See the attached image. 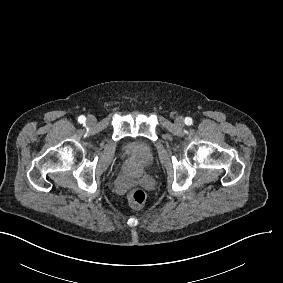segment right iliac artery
<instances>
[{
  "label": "right iliac artery",
  "mask_w": 283,
  "mask_h": 283,
  "mask_svg": "<svg viewBox=\"0 0 283 283\" xmlns=\"http://www.w3.org/2000/svg\"><path fill=\"white\" fill-rule=\"evenodd\" d=\"M85 120H86V118H85V116H83V115H81V116L78 117V122H79V123H84Z\"/></svg>",
  "instance_id": "1"
}]
</instances>
